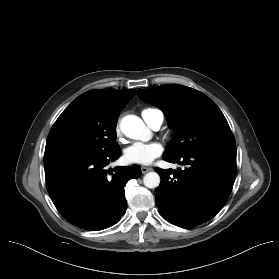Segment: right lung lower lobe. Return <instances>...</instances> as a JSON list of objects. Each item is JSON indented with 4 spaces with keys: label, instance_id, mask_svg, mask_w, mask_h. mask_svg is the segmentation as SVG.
Listing matches in <instances>:
<instances>
[{
    "label": "right lung lower lobe",
    "instance_id": "1",
    "mask_svg": "<svg viewBox=\"0 0 279 279\" xmlns=\"http://www.w3.org/2000/svg\"><path fill=\"white\" fill-rule=\"evenodd\" d=\"M121 150L108 154L69 151L44 156L46 186L60 214L85 230H102L116 224L126 210L124 186L140 177L138 165L106 166Z\"/></svg>",
    "mask_w": 279,
    "mask_h": 279
}]
</instances>
